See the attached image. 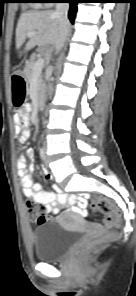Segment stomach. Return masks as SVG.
Instances as JSON below:
<instances>
[{
  "label": "stomach",
  "mask_w": 136,
  "mask_h": 296,
  "mask_svg": "<svg viewBox=\"0 0 136 296\" xmlns=\"http://www.w3.org/2000/svg\"><path fill=\"white\" fill-rule=\"evenodd\" d=\"M12 84H25V79L22 74H13L12 75ZM27 85H11L10 98H12L13 108H22L24 101L27 100Z\"/></svg>",
  "instance_id": "1"
}]
</instances>
